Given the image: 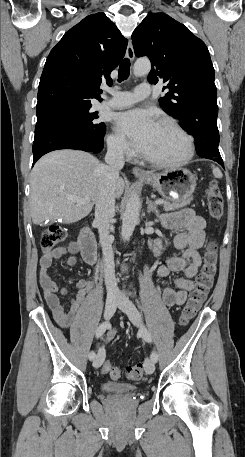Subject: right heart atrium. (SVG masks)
<instances>
[{
    "mask_svg": "<svg viewBox=\"0 0 245 457\" xmlns=\"http://www.w3.org/2000/svg\"><path fill=\"white\" fill-rule=\"evenodd\" d=\"M109 149L116 155L130 158L133 150L130 144L119 134L113 133L108 137Z\"/></svg>",
    "mask_w": 245,
    "mask_h": 457,
    "instance_id": "right-heart-atrium-1",
    "label": "right heart atrium"
}]
</instances>
